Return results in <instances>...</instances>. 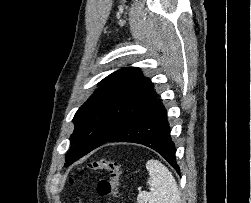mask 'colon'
Masks as SVG:
<instances>
[{
  "label": "colon",
  "instance_id": "obj_1",
  "mask_svg": "<svg viewBox=\"0 0 251 203\" xmlns=\"http://www.w3.org/2000/svg\"><path fill=\"white\" fill-rule=\"evenodd\" d=\"M86 168L90 171H105L108 179H102L97 184V192L105 197L106 203H118L119 185L122 177V167L117 161L96 158L89 162Z\"/></svg>",
  "mask_w": 251,
  "mask_h": 203
}]
</instances>
